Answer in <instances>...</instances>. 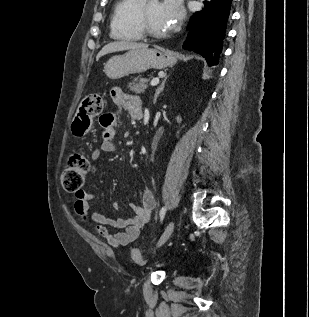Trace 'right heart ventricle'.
<instances>
[{
	"instance_id": "right-heart-ventricle-1",
	"label": "right heart ventricle",
	"mask_w": 309,
	"mask_h": 317,
	"mask_svg": "<svg viewBox=\"0 0 309 317\" xmlns=\"http://www.w3.org/2000/svg\"><path fill=\"white\" fill-rule=\"evenodd\" d=\"M141 0H119L113 11L110 28L114 38L136 41L143 38L138 16Z\"/></svg>"
}]
</instances>
